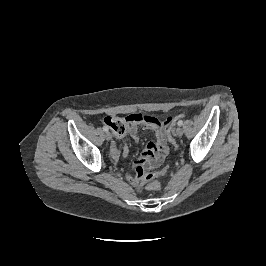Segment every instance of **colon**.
<instances>
[{
    "mask_svg": "<svg viewBox=\"0 0 266 266\" xmlns=\"http://www.w3.org/2000/svg\"><path fill=\"white\" fill-rule=\"evenodd\" d=\"M174 124L170 125L167 129L166 135L168 141L173 145L176 146V141L174 138ZM165 173V170L160 172H151L147 173L142 177L141 185L145 187L148 191H158L161 188V184L156 180L157 177H160Z\"/></svg>",
    "mask_w": 266,
    "mask_h": 266,
    "instance_id": "obj_1",
    "label": "colon"
}]
</instances>
